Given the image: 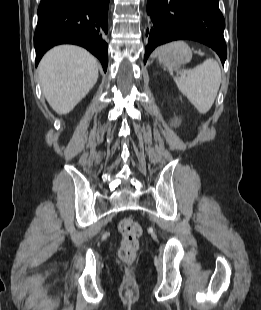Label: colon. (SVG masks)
I'll list each match as a JSON object with an SVG mask.
<instances>
[{
	"instance_id": "obj_1",
	"label": "colon",
	"mask_w": 261,
	"mask_h": 310,
	"mask_svg": "<svg viewBox=\"0 0 261 310\" xmlns=\"http://www.w3.org/2000/svg\"><path fill=\"white\" fill-rule=\"evenodd\" d=\"M118 228L122 236L118 249L119 258L125 263H132L135 261L139 249L142 227L137 221L127 217L120 221Z\"/></svg>"
}]
</instances>
